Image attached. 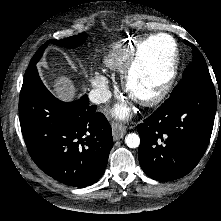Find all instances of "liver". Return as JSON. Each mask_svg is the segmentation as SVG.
<instances>
[{"label": "liver", "instance_id": "1", "mask_svg": "<svg viewBox=\"0 0 221 221\" xmlns=\"http://www.w3.org/2000/svg\"><path fill=\"white\" fill-rule=\"evenodd\" d=\"M52 87L53 94L64 102H69L76 96V88L68 76L62 75L57 77Z\"/></svg>", "mask_w": 221, "mask_h": 221}]
</instances>
